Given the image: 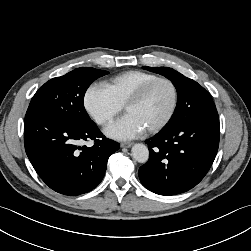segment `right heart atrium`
<instances>
[{
    "label": "right heart atrium",
    "mask_w": 251,
    "mask_h": 251,
    "mask_svg": "<svg viewBox=\"0 0 251 251\" xmlns=\"http://www.w3.org/2000/svg\"><path fill=\"white\" fill-rule=\"evenodd\" d=\"M83 105L88 115L100 126L110 125L122 111V106L102 85H90L83 97Z\"/></svg>",
    "instance_id": "obj_1"
}]
</instances>
